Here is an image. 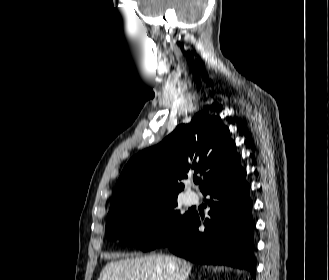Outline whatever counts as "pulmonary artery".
I'll list each match as a JSON object with an SVG mask.
<instances>
[{
    "mask_svg": "<svg viewBox=\"0 0 329 280\" xmlns=\"http://www.w3.org/2000/svg\"><path fill=\"white\" fill-rule=\"evenodd\" d=\"M198 197L194 192H188L185 195V201L188 205L194 204L197 201Z\"/></svg>",
    "mask_w": 329,
    "mask_h": 280,
    "instance_id": "pulmonary-artery-1",
    "label": "pulmonary artery"
}]
</instances>
